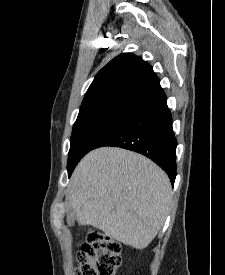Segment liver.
<instances>
[{"mask_svg":"<svg viewBox=\"0 0 225 275\" xmlns=\"http://www.w3.org/2000/svg\"><path fill=\"white\" fill-rule=\"evenodd\" d=\"M171 196L168 176L150 159L102 147L79 162L67 199L79 225H91L116 241L144 249L162 228Z\"/></svg>","mask_w":225,"mask_h":275,"instance_id":"6515ba94","label":"liver"}]
</instances>
